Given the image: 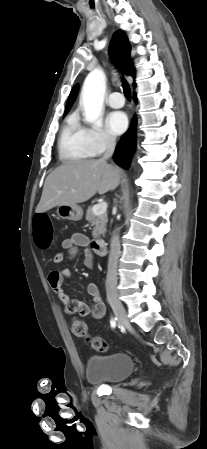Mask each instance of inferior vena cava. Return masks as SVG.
<instances>
[{"instance_id": "602c4592", "label": "inferior vena cava", "mask_w": 207, "mask_h": 449, "mask_svg": "<svg viewBox=\"0 0 207 449\" xmlns=\"http://www.w3.org/2000/svg\"><path fill=\"white\" fill-rule=\"evenodd\" d=\"M115 138L108 136L106 139V150L101 158V160L106 161L109 159L115 149ZM120 253V241H119V235L118 233H114V235L111 238V244H110V253L108 258V272L106 277V291L107 296L111 294H117V263H118V256Z\"/></svg>"}]
</instances>
